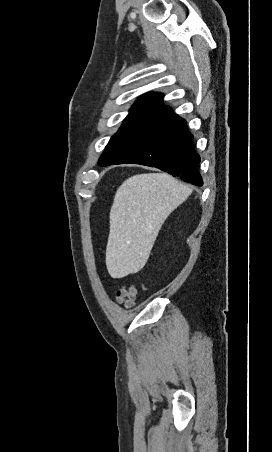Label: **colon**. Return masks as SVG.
Listing matches in <instances>:
<instances>
[{
  "label": "colon",
  "mask_w": 272,
  "mask_h": 452,
  "mask_svg": "<svg viewBox=\"0 0 272 452\" xmlns=\"http://www.w3.org/2000/svg\"><path fill=\"white\" fill-rule=\"evenodd\" d=\"M135 296H136V291H135V288L132 286L120 287L116 293L117 301L126 307H131L133 305Z\"/></svg>",
  "instance_id": "1"
}]
</instances>
